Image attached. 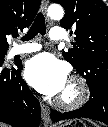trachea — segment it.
<instances>
[{
  "instance_id": "3493384b",
  "label": "trachea",
  "mask_w": 108,
  "mask_h": 127,
  "mask_svg": "<svg viewBox=\"0 0 108 127\" xmlns=\"http://www.w3.org/2000/svg\"><path fill=\"white\" fill-rule=\"evenodd\" d=\"M38 33H40L41 35L46 34L45 18L41 12L38 13L34 23L32 24L28 33L24 37H22V40L29 41L33 39ZM14 37L17 38L18 35H15Z\"/></svg>"
}]
</instances>
